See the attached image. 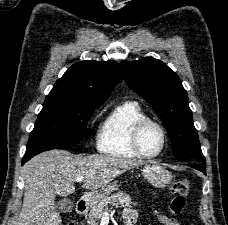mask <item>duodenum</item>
<instances>
[{
  "label": "duodenum",
  "instance_id": "410a0bca",
  "mask_svg": "<svg viewBox=\"0 0 228 225\" xmlns=\"http://www.w3.org/2000/svg\"><path fill=\"white\" fill-rule=\"evenodd\" d=\"M90 203V198H81L75 204V216L69 222V225H80V218L87 210ZM126 225H133V223L128 220Z\"/></svg>",
  "mask_w": 228,
  "mask_h": 225
}]
</instances>
